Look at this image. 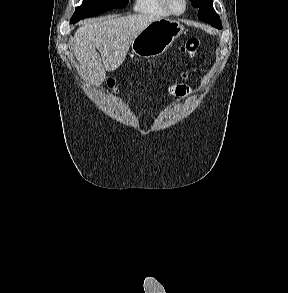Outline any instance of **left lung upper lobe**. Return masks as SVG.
Wrapping results in <instances>:
<instances>
[{
  "label": "left lung upper lobe",
  "instance_id": "left-lung-upper-lobe-1",
  "mask_svg": "<svg viewBox=\"0 0 288 293\" xmlns=\"http://www.w3.org/2000/svg\"><path fill=\"white\" fill-rule=\"evenodd\" d=\"M192 6L198 9V18L211 24L213 27L222 29L219 15L214 11L213 0H190Z\"/></svg>",
  "mask_w": 288,
  "mask_h": 293
}]
</instances>
